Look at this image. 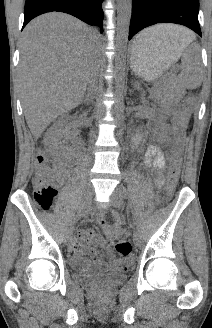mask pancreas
Wrapping results in <instances>:
<instances>
[{
  "mask_svg": "<svg viewBox=\"0 0 212 328\" xmlns=\"http://www.w3.org/2000/svg\"><path fill=\"white\" fill-rule=\"evenodd\" d=\"M173 83H174V81L173 80H170L169 82H168V88H171V89H173Z\"/></svg>",
  "mask_w": 212,
  "mask_h": 328,
  "instance_id": "pancreas-1",
  "label": "pancreas"
}]
</instances>
